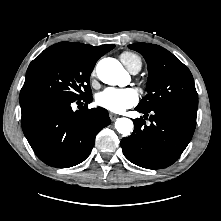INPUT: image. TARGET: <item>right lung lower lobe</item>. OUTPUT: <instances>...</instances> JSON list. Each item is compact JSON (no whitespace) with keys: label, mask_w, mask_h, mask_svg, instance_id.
I'll return each instance as SVG.
<instances>
[{"label":"right lung lower lobe","mask_w":221,"mask_h":221,"mask_svg":"<svg viewBox=\"0 0 221 221\" xmlns=\"http://www.w3.org/2000/svg\"><path fill=\"white\" fill-rule=\"evenodd\" d=\"M92 96L73 101L55 94L20 95L23 132L37 157L57 168L75 166L90 154L99 131L111 123L103 108L73 111L71 104L92 101Z\"/></svg>","instance_id":"right-lung-lower-lobe-1"}]
</instances>
